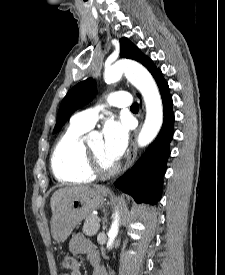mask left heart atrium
Segmentation results:
<instances>
[{
	"instance_id": "39dd6f15",
	"label": "left heart atrium",
	"mask_w": 225,
	"mask_h": 275,
	"mask_svg": "<svg viewBox=\"0 0 225 275\" xmlns=\"http://www.w3.org/2000/svg\"><path fill=\"white\" fill-rule=\"evenodd\" d=\"M104 151L108 159L116 162L128 143V125L125 121L109 120L103 128Z\"/></svg>"
}]
</instances>
